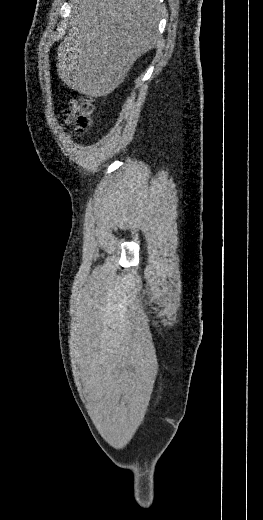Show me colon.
I'll return each instance as SVG.
<instances>
[{
    "mask_svg": "<svg viewBox=\"0 0 263 520\" xmlns=\"http://www.w3.org/2000/svg\"><path fill=\"white\" fill-rule=\"evenodd\" d=\"M92 112V99L89 96H80L70 101L64 113V121L73 127L77 135H80L90 127Z\"/></svg>",
    "mask_w": 263,
    "mask_h": 520,
    "instance_id": "1",
    "label": "colon"
}]
</instances>
